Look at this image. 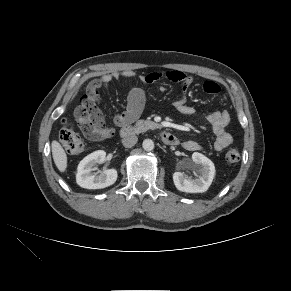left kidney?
Instances as JSON below:
<instances>
[{
	"label": "left kidney",
	"instance_id": "obj_1",
	"mask_svg": "<svg viewBox=\"0 0 291 291\" xmlns=\"http://www.w3.org/2000/svg\"><path fill=\"white\" fill-rule=\"evenodd\" d=\"M192 160L199 174L198 178L192 179L183 172H175L173 174V182L175 187L182 192L202 193L207 191L215 176L214 163L201 153L192 154Z\"/></svg>",
	"mask_w": 291,
	"mask_h": 291
}]
</instances>
